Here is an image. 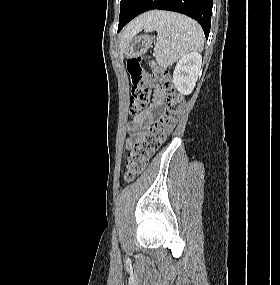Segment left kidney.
I'll return each mask as SVG.
<instances>
[{
	"label": "left kidney",
	"mask_w": 280,
	"mask_h": 285,
	"mask_svg": "<svg viewBox=\"0 0 280 285\" xmlns=\"http://www.w3.org/2000/svg\"><path fill=\"white\" fill-rule=\"evenodd\" d=\"M201 64L202 57L197 52L189 53L178 61L173 72V83L181 94L189 95L193 91Z\"/></svg>",
	"instance_id": "obj_1"
}]
</instances>
